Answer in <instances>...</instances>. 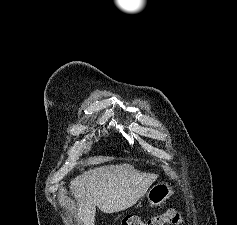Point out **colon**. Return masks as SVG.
<instances>
[{
    "label": "colon",
    "mask_w": 237,
    "mask_h": 225,
    "mask_svg": "<svg viewBox=\"0 0 237 225\" xmlns=\"http://www.w3.org/2000/svg\"><path fill=\"white\" fill-rule=\"evenodd\" d=\"M182 219L176 209H169L163 214L153 216L147 220H143L136 215L126 216L121 225H181Z\"/></svg>",
    "instance_id": "obj_1"
}]
</instances>
